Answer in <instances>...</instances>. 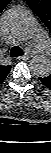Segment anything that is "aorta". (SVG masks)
Masks as SVG:
<instances>
[{"label": "aorta", "instance_id": "aorta-1", "mask_svg": "<svg viewBox=\"0 0 51 153\" xmlns=\"http://www.w3.org/2000/svg\"><path fill=\"white\" fill-rule=\"evenodd\" d=\"M3 28L7 35L16 40H27L37 31V23L31 14L23 8H12L3 16ZM30 70L37 77L51 74V60L43 55H36L30 60Z\"/></svg>", "mask_w": 51, "mask_h": 153}]
</instances>
